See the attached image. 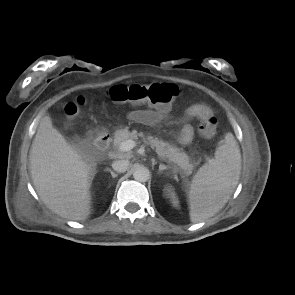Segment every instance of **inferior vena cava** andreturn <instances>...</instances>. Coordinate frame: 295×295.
Here are the masks:
<instances>
[{
	"label": "inferior vena cava",
	"mask_w": 295,
	"mask_h": 295,
	"mask_svg": "<svg viewBox=\"0 0 295 295\" xmlns=\"http://www.w3.org/2000/svg\"><path fill=\"white\" fill-rule=\"evenodd\" d=\"M129 166L128 160H115L112 163V168L120 173L126 172L127 168Z\"/></svg>",
	"instance_id": "1"
}]
</instances>
